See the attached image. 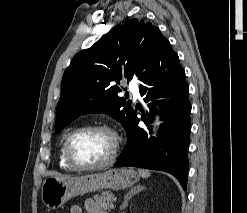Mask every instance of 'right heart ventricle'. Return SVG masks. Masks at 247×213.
<instances>
[{
	"mask_svg": "<svg viewBox=\"0 0 247 213\" xmlns=\"http://www.w3.org/2000/svg\"><path fill=\"white\" fill-rule=\"evenodd\" d=\"M66 137L64 138L63 142L61 143L60 149H59V156H58V162H59V166L61 169L66 170V171H74L75 169L73 167H71L66 159H65V155H64V142H65Z\"/></svg>",
	"mask_w": 247,
	"mask_h": 213,
	"instance_id": "right-heart-ventricle-1",
	"label": "right heart ventricle"
}]
</instances>
